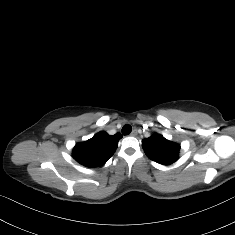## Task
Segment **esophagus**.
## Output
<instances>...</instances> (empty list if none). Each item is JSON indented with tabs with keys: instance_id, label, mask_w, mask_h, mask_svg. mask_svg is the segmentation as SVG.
I'll return each mask as SVG.
<instances>
[{
	"instance_id": "esophagus-1",
	"label": "esophagus",
	"mask_w": 235,
	"mask_h": 235,
	"mask_svg": "<svg viewBox=\"0 0 235 235\" xmlns=\"http://www.w3.org/2000/svg\"><path fill=\"white\" fill-rule=\"evenodd\" d=\"M138 134V132H137V129H134L132 132H131V136L132 137H134V136H136Z\"/></svg>"
}]
</instances>
